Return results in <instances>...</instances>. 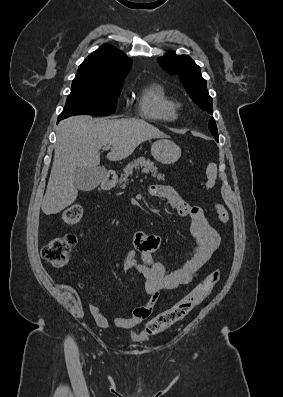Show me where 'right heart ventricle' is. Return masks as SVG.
Segmentation results:
<instances>
[{"instance_id":"obj_1","label":"right heart ventricle","mask_w":283,"mask_h":397,"mask_svg":"<svg viewBox=\"0 0 283 397\" xmlns=\"http://www.w3.org/2000/svg\"><path fill=\"white\" fill-rule=\"evenodd\" d=\"M140 115L150 121L169 122L177 117V103L164 86L153 83L145 86L138 96Z\"/></svg>"}]
</instances>
